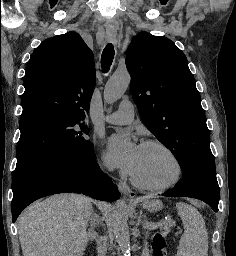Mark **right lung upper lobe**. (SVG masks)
I'll use <instances>...</instances> for the list:
<instances>
[{"label": "right lung upper lobe", "instance_id": "cb5924a9", "mask_svg": "<svg viewBox=\"0 0 236 256\" xmlns=\"http://www.w3.org/2000/svg\"><path fill=\"white\" fill-rule=\"evenodd\" d=\"M23 84L21 118L49 112L84 119L95 87L93 54L78 33L49 38L31 55Z\"/></svg>", "mask_w": 236, "mask_h": 256}]
</instances>
